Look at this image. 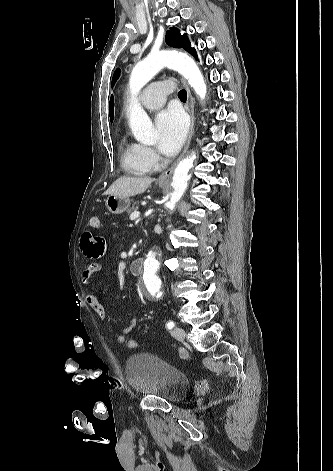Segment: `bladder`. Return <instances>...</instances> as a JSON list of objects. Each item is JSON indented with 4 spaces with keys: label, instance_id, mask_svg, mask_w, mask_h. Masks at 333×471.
Masks as SVG:
<instances>
[{
    "label": "bladder",
    "instance_id": "31cf9c89",
    "mask_svg": "<svg viewBox=\"0 0 333 471\" xmlns=\"http://www.w3.org/2000/svg\"><path fill=\"white\" fill-rule=\"evenodd\" d=\"M125 374L128 384L136 393L171 403L181 401L191 389V380L184 372L150 353L130 356Z\"/></svg>",
    "mask_w": 333,
    "mask_h": 471
}]
</instances>
